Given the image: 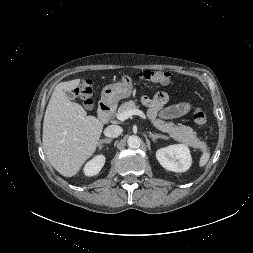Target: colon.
Instances as JSON below:
<instances>
[{"label":"colon","instance_id":"colon-1","mask_svg":"<svg viewBox=\"0 0 253 253\" xmlns=\"http://www.w3.org/2000/svg\"><path fill=\"white\" fill-rule=\"evenodd\" d=\"M141 80L150 83L168 84L171 81V73L166 71L145 70L138 74ZM76 95L83 101L86 107H91L92 82L82 80L75 89ZM193 121L198 126H204L207 122V116L202 108L195 107L192 115Z\"/></svg>","mask_w":253,"mask_h":253}]
</instances>
